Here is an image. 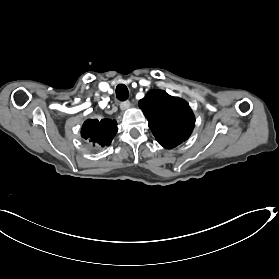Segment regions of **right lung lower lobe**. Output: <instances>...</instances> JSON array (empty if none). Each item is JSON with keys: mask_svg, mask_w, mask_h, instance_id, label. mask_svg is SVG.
Instances as JSON below:
<instances>
[{"mask_svg": "<svg viewBox=\"0 0 279 279\" xmlns=\"http://www.w3.org/2000/svg\"><path fill=\"white\" fill-rule=\"evenodd\" d=\"M117 122L115 120L88 119L83 123L81 135L85 140L102 147L110 145L117 133Z\"/></svg>", "mask_w": 279, "mask_h": 279, "instance_id": "obj_1", "label": "right lung lower lobe"}]
</instances>
